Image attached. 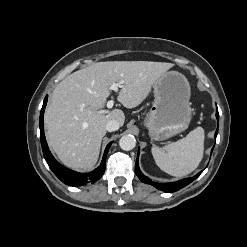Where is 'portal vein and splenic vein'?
Masks as SVG:
<instances>
[{"label": "portal vein and splenic vein", "mask_w": 247, "mask_h": 247, "mask_svg": "<svg viewBox=\"0 0 247 247\" xmlns=\"http://www.w3.org/2000/svg\"><path fill=\"white\" fill-rule=\"evenodd\" d=\"M123 84V82H119V83H113L111 86H110V89L115 91V92H118V87H121ZM114 105V101L113 100H109L107 102V108L111 109ZM101 113H107V111L105 110H102Z\"/></svg>", "instance_id": "18ae733b"}]
</instances>
